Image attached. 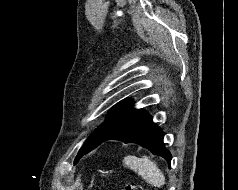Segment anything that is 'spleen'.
<instances>
[{"mask_svg":"<svg viewBox=\"0 0 238 190\" xmlns=\"http://www.w3.org/2000/svg\"><path fill=\"white\" fill-rule=\"evenodd\" d=\"M123 163L126 167L138 173L150 185L161 187L165 184L164 174L157 167L156 163L148 157L126 156Z\"/></svg>","mask_w":238,"mask_h":190,"instance_id":"spleen-1","label":"spleen"}]
</instances>
